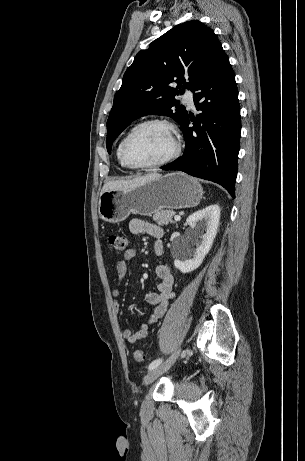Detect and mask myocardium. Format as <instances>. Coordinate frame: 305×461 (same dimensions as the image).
<instances>
[{
    "instance_id": "1",
    "label": "myocardium",
    "mask_w": 305,
    "mask_h": 461,
    "mask_svg": "<svg viewBox=\"0 0 305 461\" xmlns=\"http://www.w3.org/2000/svg\"><path fill=\"white\" fill-rule=\"evenodd\" d=\"M151 125H159L169 131V133L171 134L173 138V142H174L173 151L164 159L154 162V163H150V164L136 163L135 161L132 160V158L129 155L128 148H129L130 141L136 135L138 131H140L144 127L151 126ZM180 153H181V142H180L178 133L175 127L169 121L164 120V119H149V120H145L137 124L125 136L123 143H122V156H123L124 161L129 167L133 169H138V170H151V169L165 166L169 164L170 162L174 161L176 158H178Z\"/></svg>"
}]
</instances>
